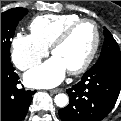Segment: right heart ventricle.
<instances>
[{
  "label": "right heart ventricle",
  "instance_id": "1",
  "mask_svg": "<svg viewBox=\"0 0 121 121\" xmlns=\"http://www.w3.org/2000/svg\"><path fill=\"white\" fill-rule=\"evenodd\" d=\"M79 19L76 14H47L35 17L29 27L32 35L49 48L67 26Z\"/></svg>",
  "mask_w": 121,
  "mask_h": 121
}]
</instances>
